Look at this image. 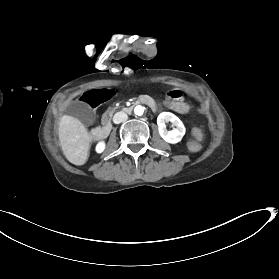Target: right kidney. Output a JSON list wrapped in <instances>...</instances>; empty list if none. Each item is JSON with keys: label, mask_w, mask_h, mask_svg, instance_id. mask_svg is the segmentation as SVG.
Listing matches in <instances>:
<instances>
[{"label": "right kidney", "mask_w": 279, "mask_h": 279, "mask_svg": "<svg viewBox=\"0 0 279 279\" xmlns=\"http://www.w3.org/2000/svg\"><path fill=\"white\" fill-rule=\"evenodd\" d=\"M105 148H106V142L105 140L102 139L97 141L94 150L96 154H101L105 151Z\"/></svg>", "instance_id": "obj_1"}]
</instances>
